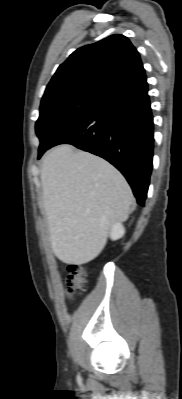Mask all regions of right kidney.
Listing matches in <instances>:
<instances>
[{
  "instance_id": "obj_1",
  "label": "right kidney",
  "mask_w": 182,
  "mask_h": 399,
  "mask_svg": "<svg viewBox=\"0 0 182 399\" xmlns=\"http://www.w3.org/2000/svg\"><path fill=\"white\" fill-rule=\"evenodd\" d=\"M125 234V228L120 222H115L110 231V237L112 240H118Z\"/></svg>"
}]
</instances>
